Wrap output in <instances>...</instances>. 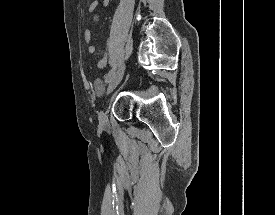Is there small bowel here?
I'll use <instances>...</instances> for the list:
<instances>
[{"label": "small bowel", "mask_w": 275, "mask_h": 215, "mask_svg": "<svg viewBox=\"0 0 275 215\" xmlns=\"http://www.w3.org/2000/svg\"><path fill=\"white\" fill-rule=\"evenodd\" d=\"M109 0H94L92 1L88 6V12L92 13L94 10H96L98 7H106L108 5ZM84 42L86 45V49L90 54H94L96 51V46L92 42V34L90 29H86L84 32ZM108 51L104 52L103 58L98 62L99 68H104L107 64V57H108Z\"/></svg>", "instance_id": "1"}]
</instances>
